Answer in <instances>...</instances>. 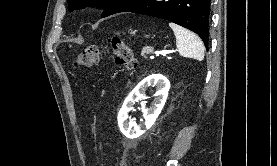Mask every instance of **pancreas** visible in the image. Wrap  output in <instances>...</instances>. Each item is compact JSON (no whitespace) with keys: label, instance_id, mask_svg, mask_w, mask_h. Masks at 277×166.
Instances as JSON below:
<instances>
[{"label":"pancreas","instance_id":"pancreas-1","mask_svg":"<svg viewBox=\"0 0 277 166\" xmlns=\"http://www.w3.org/2000/svg\"><path fill=\"white\" fill-rule=\"evenodd\" d=\"M152 51H153V48H151V47H144V48L142 49L141 55H142L143 57H146V55L149 54V53H151Z\"/></svg>","mask_w":277,"mask_h":166}]
</instances>
